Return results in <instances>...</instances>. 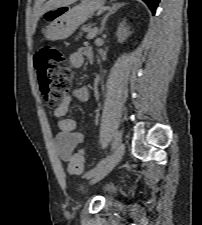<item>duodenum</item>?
Masks as SVG:
<instances>
[{"instance_id":"1","label":"duodenum","mask_w":202,"mask_h":225,"mask_svg":"<svg viewBox=\"0 0 202 225\" xmlns=\"http://www.w3.org/2000/svg\"><path fill=\"white\" fill-rule=\"evenodd\" d=\"M89 59L92 60L93 59V54L89 55Z\"/></svg>"}]
</instances>
